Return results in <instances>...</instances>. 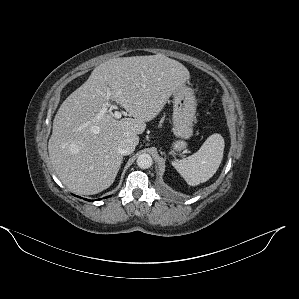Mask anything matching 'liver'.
I'll return each mask as SVG.
<instances>
[{
    "label": "liver",
    "instance_id": "1",
    "mask_svg": "<svg viewBox=\"0 0 299 299\" xmlns=\"http://www.w3.org/2000/svg\"><path fill=\"white\" fill-rule=\"evenodd\" d=\"M190 79L188 69L165 55L121 57L97 66L61 104L48 142L51 163L64 185L79 195L109 188L123 161L119 143L137 145L173 92ZM111 99L133 118L117 120Z\"/></svg>",
    "mask_w": 299,
    "mask_h": 299
}]
</instances>
